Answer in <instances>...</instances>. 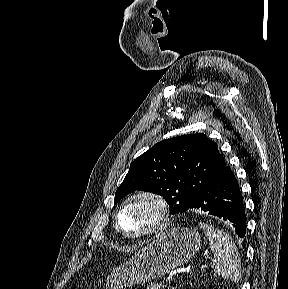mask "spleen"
I'll list each match as a JSON object with an SVG mask.
<instances>
[{
    "instance_id": "1",
    "label": "spleen",
    "mask_w": 288,
    "mask_h": 289,
    "mask_svg": "<svg viewBox=\"0 0 288 289\" xmlns=\"http://www.w3.org/2000/svg\"><path fill=\"white\" fill-rule=\"evenodd\" d=\"M199 226L207 236L214 255L212 263L214 272L224 279L239 282L241 279V259L231 237L224 231L208 224L201 223Z\"/></svg>"
}]
</instances>
